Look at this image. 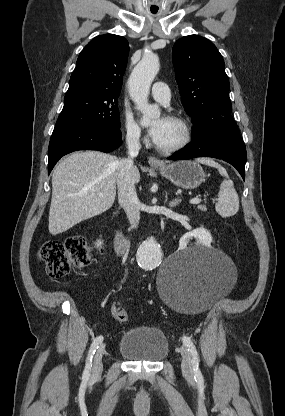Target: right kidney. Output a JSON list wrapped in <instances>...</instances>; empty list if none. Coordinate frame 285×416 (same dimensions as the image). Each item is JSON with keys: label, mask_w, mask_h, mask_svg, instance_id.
Here are the masks:
<instances>
[{"label": "right kidney", "mask_w": 285, "mask_h": 416, "mask_svg": "<svg viewBox=\"0 0 285 416\" xmlns=\"http://www.w3.org/2000/svg\"><path fill=\"white\" fill-rule=\"evenodd\" d=\"M100 244H101L100 240H97L95 246H100Z\"/></svg>", "instance_id": "right-kidney-1"}]
</instances>
